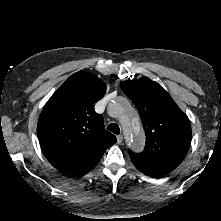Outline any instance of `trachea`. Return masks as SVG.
<instances>
[{
    "label": "trachea",
    "mask_w": 221,
    "mask_h": 221,
    "mask_svg": "<svg viewBox=\"0 0 221 221\" xmlns=\"http://www.w3.org/2000/svg\"><path fill=\"white\" fill-rule=\"evenodd\" d=\"M107 129L114 133V134H119L120 133V128L116 123H111L107 126Z\"/></svg>",
    "instance_id": "1"
}]
</instances>
